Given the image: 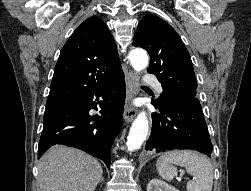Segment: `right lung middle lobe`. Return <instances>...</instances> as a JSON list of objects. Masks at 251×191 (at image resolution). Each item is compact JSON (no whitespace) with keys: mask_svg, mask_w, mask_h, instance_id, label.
Here are the masks:
<instances>
[{"mask_svg":"<svg viewBox=\"0 0 251 191\" xmlns=\"http://www.w3.org/2000/svg\"><path fill=\"white\" fill-rule=\"evenodd\" d=\"M50 111H53V110H45V113L50 112Z\"/></svg>","mask_w":251,"mask_h":191,"instance_id":"1","label":"right lung middle lobe"}]
</instances>
